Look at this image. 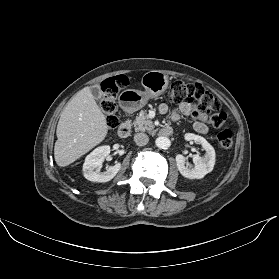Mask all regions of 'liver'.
Listing matches in <instances>:
<instances>
[{
	"instance_id": "6515ba94",
	"label": "liver",
	"mask_w": 279,
	"mask_h": 279,
	"mask_svg": "<svg viewBox=\"0 0 279 279\" xmlns=\"http://www.w3.org/2000/svg\"><path fill=\"white\" fill-rule=\"evenodd\" d=\"M108 133L106 117L90 87L81 89L60 114L54 146L58 166L65 167L100 144Z\"/></svg>"
}]
</instances>
